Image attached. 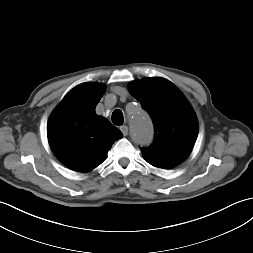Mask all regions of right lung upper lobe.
<instances>
[{
  "label": "right lung upper lobe",
  "mask_w": 253,
  "mask_h": 253,
  "mask_svg": "<svg viewBox=\"0 0 253 253\" xmlns=\"http://www.w3.org/2000/svg\"><path fill=\"white\" fill-rule=\"evenodd\" d=\"M104 92L103 84L82 83L65 96L49 118L50 147L74 171L96 168L105 160L112 144L123 136L107 119L95 113Z\"/></svg>",
  "instance_id": "1"
}]
</instances>
